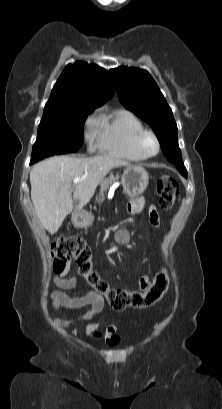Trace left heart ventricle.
Listing matches in <instances>:
<instances>
[{"mask_svg":"<svg viewBox=\"0 0 222 409\" xmlns=\"http://www.w3.org/2000/svg\"><path fill=\"white\" fill-rule=\"evenodd\" d=\"M145 148L149 153H152L155 150V143L152 138H147L145 141Z\"/></svg>","mask_w":222,"mask_h":409,"instance_id":"1","label":"left heart ventricle"}]
</instances>
